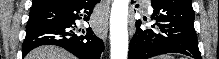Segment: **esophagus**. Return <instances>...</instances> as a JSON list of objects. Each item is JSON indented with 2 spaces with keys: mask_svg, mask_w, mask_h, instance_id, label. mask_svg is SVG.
Listing matches in <instances>:
<instances>
[{
  "mask_svg": "<svg viewBox=\"0 0 219 59\" xmlns=\"http://www.w3.org/2000/svg\"><path fill=\"white\" fill-rule=\"evenodd\" d=\"M109 5H110V0H103V11L104 12L108 11ZM95 32L101 39H103L104 41L106 40L107 32H108V24L106 20L102 22V27L100 29L95 30Z\"/></svg>",
  "mask_w": 219,
  "mask_h": 59,
  "instance_id": "34e87169",
  "label": "esophagus"
}]
</instances>
